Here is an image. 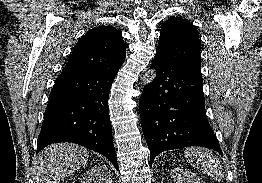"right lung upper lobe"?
<instances>
[{
  "label": "right lung upper lobe",
  "instance_id": "right-lung-upper-lobe-1",
  "mask_svg": "<svg viewBox=\"0 0 262 183\" xmlns=\"http://www.w3.org/2000/svg\"><path fill=\"white\" fill-rule=\"evenodd\" d=\"M125 57L126 45L122 34L113 27L99 26L77 42L63 73L116 70Z\"/></svg>",
  "mask_w": 262,
  "mask_h": 183
}]
</instances>
